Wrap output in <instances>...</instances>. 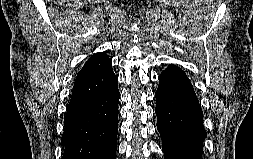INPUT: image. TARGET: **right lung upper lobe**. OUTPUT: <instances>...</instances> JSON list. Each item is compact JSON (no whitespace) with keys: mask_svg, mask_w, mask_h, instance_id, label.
<instances>
[{"mask_svg":"<svg viewBox=\"0 0 253 159\" xmlns=\"http://www.w3.org/2000/svg\"><path fill=\"white\" fill-rule=\"evenodd\" d=\"M111 63L110 59L105 53H96L85 63L82 69L77 74L75 81L94 74Z\"/></svg>","mask_w":253,"mask_h":159,"instance_id":"obj_1","label":"right lung upper lobe"}]
</instances>
